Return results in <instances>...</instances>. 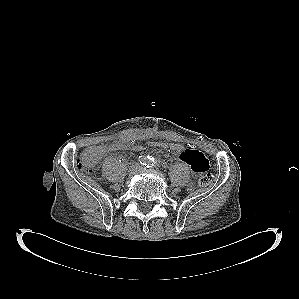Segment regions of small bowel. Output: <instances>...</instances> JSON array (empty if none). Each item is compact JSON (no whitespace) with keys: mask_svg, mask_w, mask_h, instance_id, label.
Segmentation results:
<instances>
[{"mask_svg":"<svg viewBox=\"0 0 299 299\" xmlns=\"http://www.w3.org/2000/svg\"><path fill=\"white\" fill-rule=\"evenodd\" d=\"M122 141L128 146H131L134 144L135 139L132 137H125ZM177 155L184 163L188 164L191 170L196 174H202L209 168L207 158L195 148H185L181 146V151L180 153H177Z\"/></svg>","mask_w":299,"mask_h":299,"instance_id":"1","label":"small bowel"}]
</instances>
